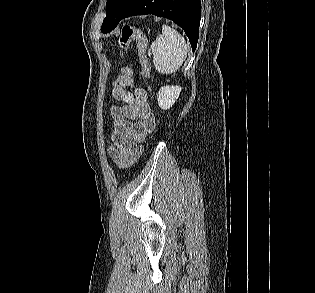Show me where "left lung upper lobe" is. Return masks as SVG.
Wrapping results in <instances>:
<instances>
[{
    "instance_id": "1",
    "label": "left lung upper lobe",
    "mask_w": 315,
    "mask_h": 293,
    "mask_svg": "<svg viewBox=\"0 0 315 293\" xmlns=\"http://www.w3.org/2000/svg\"><path fill=\"white\" fill-rule=\"evenodd\" d=\"M139 0H107L106 18L103 21L101 32H111L120 20L136 5Z\"/></svg>"
}]
</instances>
